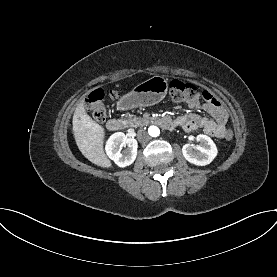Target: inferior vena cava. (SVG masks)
Listing matches in <instances>:
<instances>
[{
    "instance_id": "inferior-vena-cava-1",
    "label": "inferior vena cava",
    "mask_w": 277,
    "mask_h": 277,
    "mask_svg": "<svg viewBox=\"0 0 277 277\" xmlns=\"http://www.w3.org/2000/svg\"><path fill=\"white\" fill-rule=\"evenodd\" d=\"M137 139L140 142H147L150 139V136L148 135V133L145 130H139L137 132Z\"/></svg>"
}]
</instances>
